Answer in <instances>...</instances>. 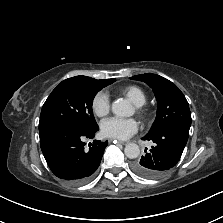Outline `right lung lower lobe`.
I'll use <instances>...</instances> for the list:
<instances>
[{"instance_id": "right-lung-lower-lobe-1", "label": "right lung lower lobe", "mask_w": 223, "mask_h": 223, "mask_svg": "<svg viewBox=\"0 0 223 223\" xmlns=\"http://www.w3.org/2000/svg\"><path fill=\"white\" fill-rule=\"evenodd\" d=\"M98 129L60 123L39 130L41 150L55 176L72 184L85 183L92 177L108 142L94 140L88 148L83 141L92 139Z\"/></svg>"}]
</instances>
